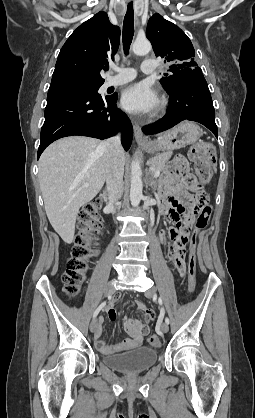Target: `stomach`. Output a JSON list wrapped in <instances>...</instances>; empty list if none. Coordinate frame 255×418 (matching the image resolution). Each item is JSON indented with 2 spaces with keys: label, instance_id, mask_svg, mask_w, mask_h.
Segmentation results:
<instances>
[{
  "label": "stomach",
  "instance_id": "obj_1",
  "mask_svg": "<svg viewBox=\"0 0 255 418\" xmlns=\"http://www.w3.org/2000/svg\"><path fill=\"white\" fill-rule=\"evenodd\" d=\"M200 135V129L196 124L184 122L163 133L157 140L143 144V149L150 154L158 151L171 152L196 142Z\"/></svg>",
  "mask_w": 255,
  "mask_h": 418
}]
</instances>
